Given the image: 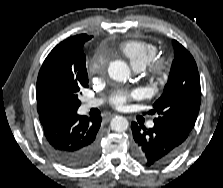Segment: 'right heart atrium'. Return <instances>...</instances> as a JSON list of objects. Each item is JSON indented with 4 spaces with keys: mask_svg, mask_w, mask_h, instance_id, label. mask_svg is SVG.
<instances>
[{
    "mask_svg": "<svg viewBox=\"0 0 223 188\" xmlns=\"http://www.w3.org/2000/svg\"><path fill=\"white\" fill-rule=\"evenodd\" d=\"M103 66V61L100 55H95L90 62V70L92 72L99 70Z\"/></svg>",
    "mask_w": 223,
    "mask_h": 188,
    "instance_id": "d8ad5b80",
    "label": "right heart atrium"
}]
</instances>
